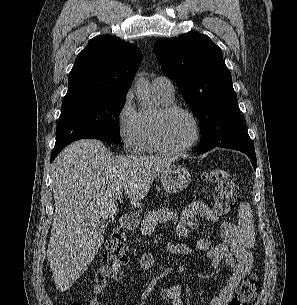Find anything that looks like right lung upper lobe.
Returning a JSON list of instances; mask_svg holds the SVG:
<instances>
[{"instance_id":"right-lung-upper-lobe-1","label":"right lung upper lobe","mask_w":297,"mask_h":305,"mask_svg":"<svg viewBox=\"0 0 297 305\" xmlns=\"http://www.w3.org/2000/svg\"><path fill=\"white\" fill-rule=\"evenodd\" d=\"M142 60L140 49L113 36L91 39L74 63L63 102L126 96Z\"/></svg>"}]
</instances>
